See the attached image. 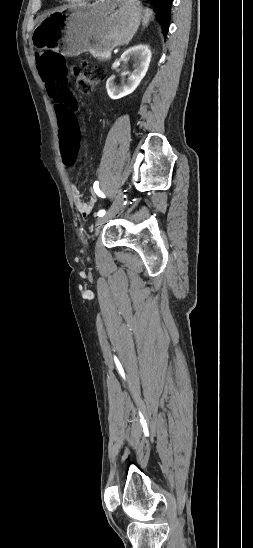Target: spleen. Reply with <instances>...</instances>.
Instances as JSON below:
<instances>
[{
    "mask_svg": "<svg viewBox=\"0 0 253 548\" xmlns=\"http://www.w3.org/2000/svg\"><path fill=\"white\" fill-rule=\"evenodd\" d=\"M151 17H153V12L148 8L145 9V16H144V20H143V24L145 26H147V24L149 23V20L151 19Z\"/></svg>",
    "mask_w": 253,
    "mask_h": 548,
    "instance_id": "3e777b00",
    "label": "spleen"
}]
</instances>
